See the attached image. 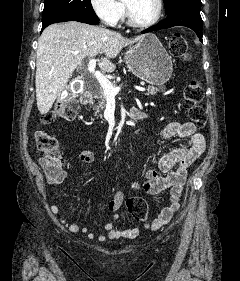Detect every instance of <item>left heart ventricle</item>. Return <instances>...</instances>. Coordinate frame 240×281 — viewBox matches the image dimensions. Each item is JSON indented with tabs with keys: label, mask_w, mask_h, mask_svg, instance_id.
Returning <instances> with one entry per match:
<instances>
[{
	"label": "left heart ventricle",
	"mask_w": 240,
	"mask_h": 281,
	"mask_svg": "<svg viewBox=\"0 0 240 281\" xmlns=\"http://www.w3.org/2000/svg\"><path fill=\"white\" fill-rule=\"evenodd\" d=\"M130 8L132 17L137 22H146L156 12V0H124Z\"/></svg>",
	"instance_id": "b2bd125f"
}]
</instances>
